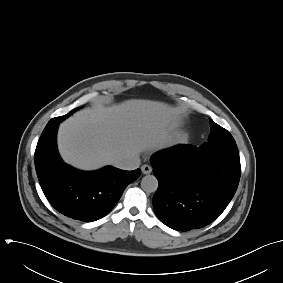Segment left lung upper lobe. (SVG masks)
<instances>
[{
	"instance_id": "5c2ea615",
	"label": "left lung upper lobe",
	"mask_w": 283,
	"mask_h": 283,
	"mask_svg": "<svg viewBox=\"0 0 283 283\" xmlns=\"http://www.w3.org/2000/svg\"><path fill=\"white\" fill-rule=\"evenodd\" d=\"M211 132L208 142L200 146L203 150L217 151L234 157H239L238 148L232 135L210 119Z\"/></svg>"
}]
</instances>
